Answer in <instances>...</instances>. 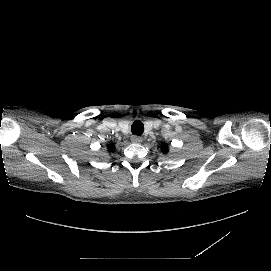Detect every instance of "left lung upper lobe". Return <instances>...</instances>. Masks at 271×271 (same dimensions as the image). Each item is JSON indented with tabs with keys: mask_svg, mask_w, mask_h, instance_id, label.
Here are the masks:
<instances>
[{
	"mask_svg": "<svg viewBox=\"0 0 271 271\" xmlns=\"http://www.w3.org/2000/svg\"><path fill=\"white\" fill-rule=\"evenodd\" d=\"M162 152H163V153H167V152H168V147H167V145H163V146H162Z\"/></svg>",
	"mask_w": 271,
	"mask_h": 271,
	"instance_id": "1",
	"label": "left lung upper lobe"
}]
</instances>
